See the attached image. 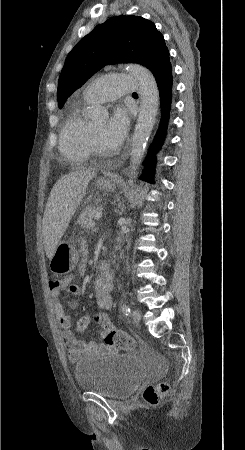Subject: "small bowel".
<instances>
[{"instance_id": "obj_1", "label": "small bowel", "mask_w": 245, "mask_h": 450, "mask_svg": "<svg viewBox=\"0 0 245 450\" xmlns=\"http://www.w3.org/2000/svg\"><path fill=\"white\" fill-rule=\"evenodd\" d=\"M83 269L80 268V272ZM114 274L109 272L101 273L94 282L93 290L96 295V307L100 310H108L113 305L112 291L114 289ZM66 290L72 297H83L86 292L78 285L71 284V278H66L59 287H50L52 298L51 306L56 320L61 328L62 340L68 352V359L76 363L84 355H93L100 350H110L105 343H97L94 340L83 341L78 339L72 331L71 321L65 312L64 303L61 298L62 291ZM71 307L76 305L75 300L69 302ZM104 331L100 330L99 335L103 336Z\"/></svg>"}]
</instances>
